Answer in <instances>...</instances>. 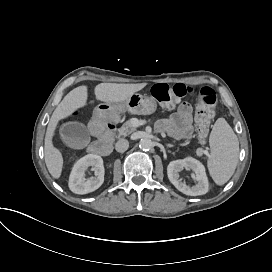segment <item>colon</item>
<instances>
[{
  "label": "colon",
  "mask_w": 272,
  "mask_h": 272,
  "mask_svg": "<svg viewBox=\"0 0 272 272\" xmlns=\"http://www.w3.org/2000/svg\"><path fill=\"white\" fill-rule=\"evenodd\" d=\"M151 92L154 98L159 102H171L175 99H180L186 95H195V101L198 106L196 114V125L199 137L204 142L209 132L211 121L215 117L214 106L217 102L216 92L209 86H190L182 83H177L170 87L166 84L155 85ZM75 115V109L69 112V116Z\"/></svg>",
  "instance_id": "1"
}]
</instances>
